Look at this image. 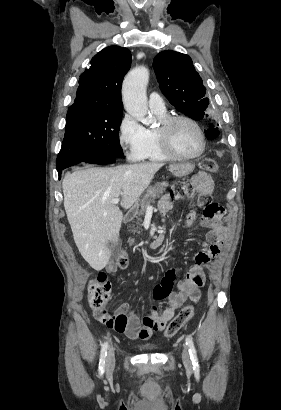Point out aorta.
I'll use <instances>...</instances> for the list:
<instances>
[{"label":"aorta","mask_w":281,"mask_h":410,"mask_svg":"<svg viewBox=\"0 0 281 410\" xmlns=\"http://www.w3.org/2000/svg\"><path fill=\"white\" fill-rule=\"evenodd\" d=\"M148 81L149 70L141 66L127 74L122 87L123 104L126 111L146 125L151 123L146 97Z\"/></svg>","instance_id":"1"}]
</instances>
